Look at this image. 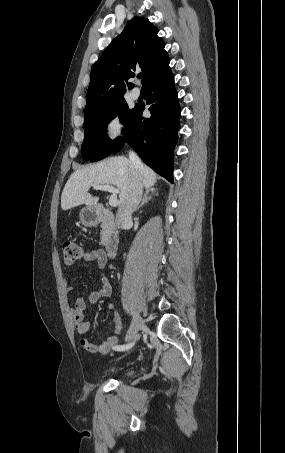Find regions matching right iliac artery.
<instances>
[{
	"mask_svg": "<svg viewBox=\"0 0 285 453\" xmlns=\"http://www.w3.org/2000/svg\"><path fill=\"white\" fill-rule=\"evenodd\" d=\"M134 345V342L128 344V345H118L116 347H114L115 350H128L130 349L132 346Z\"/></svg>",
	"mask_w": 285,
	"mask_h": 453,
	"instance_id": "obj_1",
	"label": "right iliac artery"
}]
</instances>
